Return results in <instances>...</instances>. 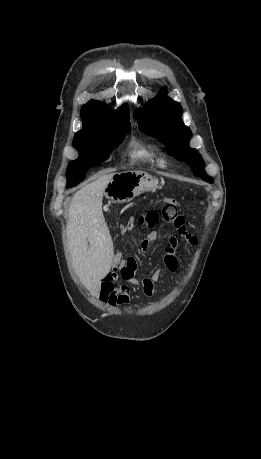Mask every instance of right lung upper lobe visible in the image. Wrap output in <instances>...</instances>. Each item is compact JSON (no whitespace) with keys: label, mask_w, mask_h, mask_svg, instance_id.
Masks as SVG:
<instances>
[{"label":"right lung upper lobe","mask_w":261,"mask_h":459,"mask_svg":"<svg viewBox=\"0 0 261 459\" xmlns=\"http://www.w3.org/2000/svg\"><path fill=\"white\" fill-rule=\"evenodd\" d=\"M81 117L83 128L76 134L107 129L113 126L128 124L129 111L127 106L112 112L103 102L92 100L82 106Z\"/></svg>","instance_id":"obj_1"}]
</instances>
